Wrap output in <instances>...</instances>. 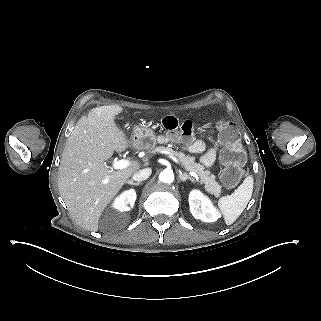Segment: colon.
<instances>
[{"mask_svg": "<svg viewBox=\"0 0 321 321\" xmlns=\"http://www.w3.org/2000/svg\"><path fill=\"white\" fill-rule=\"evenodd\" d=\"M161 125L169 132L180 131L185 136H192L196 133L197 127L193 120H181L173 115L162 118ZM220 130V137L225 144L220 153L221 162L224 165L222 171V181L227 186H234L243 174L245 154L239 141L236 127L224 118H220L216 123Z\"/></svg>", "mask_w": 321, "mask_h": 321, "instance_id": "1", "label": "colon"}]
</instances>
